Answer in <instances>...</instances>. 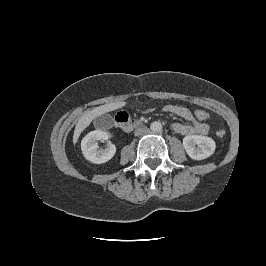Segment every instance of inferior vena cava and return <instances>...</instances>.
Here are the masks:
<instances>
[{
    "label": "inferior vena cava",
    "mask_w": 266,
    "mask_h": 266,
    "mask_svg": "<svg viewBox=\"0 0 266 266\" xmlns=\"http://www.w3.org/2000/svg\"><path fill=\"white\" fill-rule=\"evenodd\" d=\"M149 132V129L147 127H140L135 130L134 134L135 136L145 135Z\"/></svg>",
    "instance_id": "1"
}]
</instances>
